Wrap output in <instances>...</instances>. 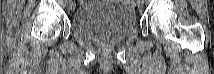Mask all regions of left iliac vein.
<instances>
[{
    "label": "left iliac vein",
    "mask_w": 214,
    "mask_h": 74,
    "mask_svg": "<svg viewBox=\"0 0 214 74\" xmlns=\"http://www.w3.org/2000/svg\"><path fill=\"white\" fill-rule=\"evenodd\" d=\"M137 6L141 7L142 6V1H137Z\"/></svg>",
    "instance_id": "1"
}]
</instances>
